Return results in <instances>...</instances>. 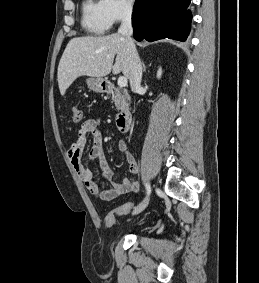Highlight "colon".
<instances>
[{
    "mask_svg": "<svg viewBox=\"0 0 259 283\" xmlns=\"http://www.w3.org/2000/svg\"><path fill=\"white\" fill-rule=\"evenodd\" d=\"M72 111L74 122L80 123L84 121V113L81 107L73 106ZM132 206V203H124L120 205L116 210L108 212L105 216V224L107 226H113L115 224L116 217L129 213Z\"/></svg>",
    "mask_w": 259,
    "mask_h": 283,
    "instance_id": "obj_1",
    "label": "colon"
}]
</instances>
